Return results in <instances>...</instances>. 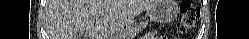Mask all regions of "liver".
I'll use <instances>...</instances> for the list:
<instances>
[{"mask_svg": "<svg viewBox=\"0 0 249 39\" xmlns=\"http://www.w3.org/2000/svg\"><path fill=\"white\" fill-rule=\"evenodd\" d=\"M156 1L50 0L46 11L48 32L51 39H114Z\"/></svg>", "mask_w": 249, "mask_h": 39, "instance_id": "liver-1", "label": "liver"}]
</instances>
